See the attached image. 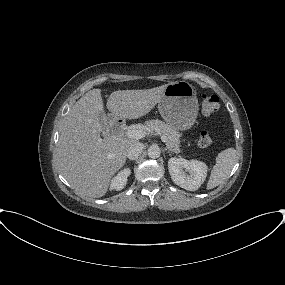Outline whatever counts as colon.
<instances>
[{
  "instance_id": "1",
  "label": "colon",
  "mask_w": 285,
  "mask_h": 285,
  "mask_svg": "<svg viewBox=\"0 0 285 285\" xmlns=\"http://www.w3.org/2000/svg\"><path fill=\"white\" fill-rule=\"evenodd\" d=\"M220 107L219 98L216 95L204 94L201 97V112L209 116L215 113ZM212 143V137L207 131H202L198 139L201 148H207Z\"/></svg>"
}]
</instances>
